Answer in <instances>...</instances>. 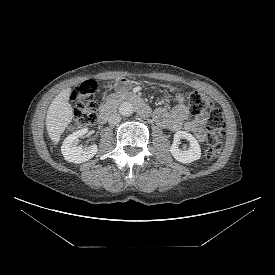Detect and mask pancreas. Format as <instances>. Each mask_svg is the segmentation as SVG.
Here are the masks:
<instances>
[{
  "mask_svg": "<svg viewBox=\"0 0 275 275\" xmlns=\"http://www.w3.org/2000/svg\"><path fill=\"white\" fill-rule=\"evenodd\" d=\"M123 98V95L118 93H112L111 95L107 96L105 99L106 104H116L120 102Z\"/></svg>",
  "mask_w": 275,
  "mask_h": 275,
  "instance_id": "pancreas-1",
  "label": "pancreas"
}]
</instances>
